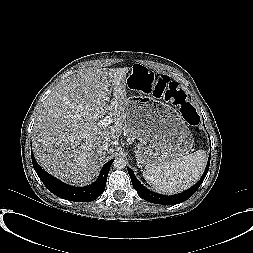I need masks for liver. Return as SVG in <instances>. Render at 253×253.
Here are the masks:
<instances>
[{
  "label": "liver",
  "instance_id": "1",
  "mask_svg": "<svg viewBox=\"0 0 253 253\" xmlns=\"http://www.w3.org/2000/svg\"><path fill=\"white\" fill-rule=\"evenodd\" d=\"M124 68H85L60 82L43 103L32 130L38 163L75 185L91 182L125 130L128 105ZM112 92V98H111ZM114 125L100 128L105 114Z\"/></svg>",
  "mask_w": 253,
  "mask_h": 253
}]
</instances>
